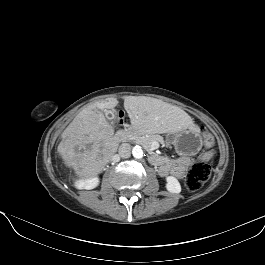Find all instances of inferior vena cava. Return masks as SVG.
<instances>
[{
  "instance_id": "1",
  "label": "inferior vena cava",
  "mask_w": 265,
  "mask_h": 265,
  "mask_svg": "<svg viewBox=\"0 0 265 265\" xmlns=\"http://www.w3.org/2000/svg\"><path fill=\"white\" fill-rule=\"evenodd\" d=\"M119 156L122 158H128L131 155V146L128 143H123L118 149Z\"/></svg>"
}]
</instances>
